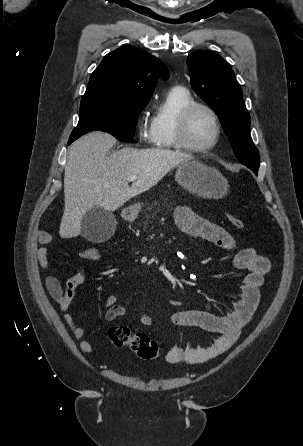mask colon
<instances>
[{
  "instance_id": "5ec220e1",
  "label": "colon",
  "mask_w": 303,
  "mask_h": 446,
  "mask_svg": "<svg viewBox=\"0 0 303 446\" xmlns=\"http://www.w3.org/2000/svg\"><path fill=\"white\" fill-rule=\"evenodd\" d=\"M227 218L235 228H244V223L239 217L228 213ZM82 257L89 261H97L101 257V251L97 248H89L83 252ZM108 337L114 346H127L144 360H153L159 354V347L154 339L145 333H131L126 326L111 327L108 331Z\"/></svg>"
}]
</instances>
